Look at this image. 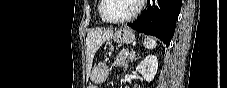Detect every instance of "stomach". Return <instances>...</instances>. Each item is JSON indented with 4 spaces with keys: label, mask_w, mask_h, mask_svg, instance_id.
Masks as SVG:
<instances>
[{
    "label": "stomach",
    "mask_w": 227,
    "mask_h": 88,
    "mask_svg": "<svg viewBox=\"0 0 227 88\" xmlns=\"http://www.w3.org/2000/svg\"><path fill=\"white\" fill-rule=\"evenodd\" d=\"M113 39L119 44H130L134 41L135 34L131 29L123 28L115 32ZM111 50L113 49L111 48ZM108 73L109 68L105 63H97L91 71L90 79L92 82L100 84L107 79Z\"/></svg>",
    "instance_id": "stomach-1"
}]
</instances>
